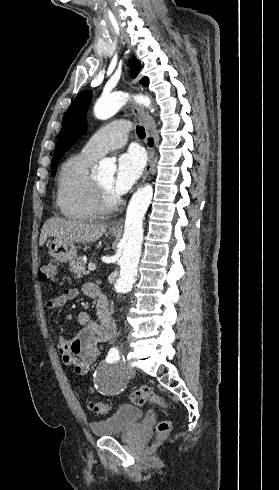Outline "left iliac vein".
Wrapping results in <instances>:
<instances>
[{"label": "left iliac vein", "mask_w": 279, "mask_h": 490, "mask_svg": "<svg viewBox=\"0 0 279 490\" xmlns=\"http://www.w3.org/2000/svg\"><path fill=\"white\" fill-rule=\"evenodd\" d=\"M132 360L127 359L126 362L124 363V366L128 368L129 372H133V368L131 367Z\"/></svg>", "instance_id": "left-iliac-vein-1"}]
</instances>
